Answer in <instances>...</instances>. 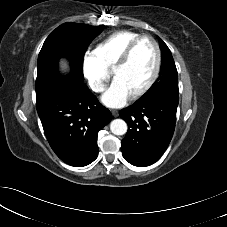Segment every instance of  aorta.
Wrapping results in <instances>:
<instances>
[{"label":"aorta","instance_id":"762f6f07","mask_svg":"<svg viewBox=\"0 0 227 227\" xmlns=\"http://www.w3.org/2000/svg\"><path fill=\"white\" fill-rule=\"evenodd\" d=\"M110 130L115 135H123L127 132V124L122 119H115L110 123Z\"/></svg>","mask_w":227,"mask_h":227}]
</instances>
